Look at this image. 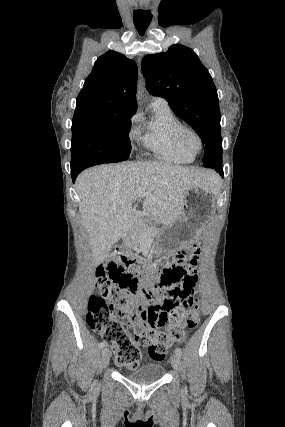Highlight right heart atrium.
Returning <instances> with one entry per match:
<instances>
[{"label":"right heart atrium","mask_w":285,"mask_h":427,"mask_svg":"<svg viewBox=\"0 0 285 427\" xmlns=\"http://www.w3.org/2000/svg\"><path fill=\"white\" fill-rule=\"evenodd\" d=\"M137 120V116H133L132 121H136ZM133 134V132L131 133V135Z\"/></svg>","instance_id":"d8ad5b80"}]
</instances>
